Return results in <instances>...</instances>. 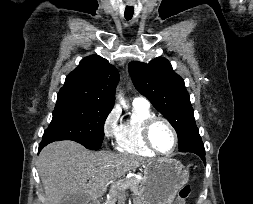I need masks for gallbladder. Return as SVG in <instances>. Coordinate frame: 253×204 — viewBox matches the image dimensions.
Instances as JSON below:
<instances>
[{
  "instance_id": "1",
  "label": "gallbladder",
  "mask_w": 253,
  "mask_h": 204,
  "mask_svg": "<svg viewBox=\"0 0 253 204\" xmlns=\"http://www.w3.org/2000/svg\"><path fill=\"white\" fill-rule=\"evenodd\" d=\"M87 199L88 196L85 193L69 195V197L64 199L61 204H85Z\"/></svg>"
}]
</instances>
